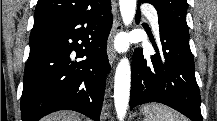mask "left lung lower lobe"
<instances>
[{"mask_svg":"<svg viewBox=\"0 0 217 121\" xmlns=\"http://www.w3.org/2000/svg\"><path fill=\"white\" fill-rule=\"evenodd\" d=\"M141 3H149L138 0ZM141 17L139 9L136 22ZM159 46L157 54L145 58L140 48L135 49L131 73L130 110L149 102H159L181 112L192 121H202L200 92L194 73V60L189 46V35L159 16Z\"/></svg>","mask_w":217,"mask_h":121,"instance_id":"1","label":"left lung lower lobe"}]
</instances>
